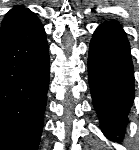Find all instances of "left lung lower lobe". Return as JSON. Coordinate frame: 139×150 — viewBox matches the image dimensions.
Segmentation results:
<instances>
[{
	"instance_id": "1",
	"label": "left lung lower lobe",
	"mask_w": 139,
	"mask_h": 150,
	"mask_svg": "<svg viewBox=\"0 0 139 150\" xmlns=\"http://www.w3.org/2000/svg\"><path fill=\"white\" fill-rule=\"evenodd\" d=\"M88 75L94 108L103 133L123 137L134 101V71L130 45L116 21L101 24L89 46Z\"/></svg>"
}]
</instances>
